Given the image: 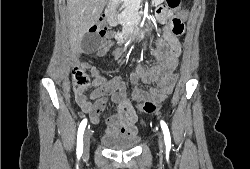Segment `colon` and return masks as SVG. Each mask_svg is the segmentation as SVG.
Wrapping results in <instances>:
<instances>
[{"label": "colon", "mask_w": 250, "mask_h": 169, "mask_svg": "<svg viewBox=\"0 0 250 169\" xmlns=\"http://www.w3.org/2000/svg\"><path fill=\"white\" fill-rule=\"evenodd\" d=\"M166 6L168 9H177L181 6V0H167ZM173 31L175 33H181L183 31V23L179 20L173 22ZM107 33V27L100 24H94L89 29V39L87 44L91 47L96 46L98 38L104 37ZM89 77L87 74L79 67H75L71 72V85L72 89L76 93L84 92L88 86ZM157 95H166V93H158ZM149 103H139L137 106L139 108H161L162 102H164V97H151L148 101ZM144 114H153V109H144ZM143 122L142 120L140 121Z\"/></svg>", "instance_id": "obj_1"}]
</instances>
